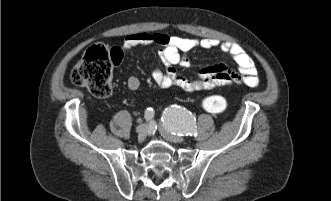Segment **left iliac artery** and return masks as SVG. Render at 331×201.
Instances as JSON below:
<instances>
[{
    "instance_id": "44dca946",
    "label": "left iliac artery",
    "mask_w": 331,
    "mask_h": 201,
    "mask_svg": "<svg viewBox=\"0 0 331 201\" xmlns=\"http://www.w3.org/2000/svg\"><path fill=\"white\" fill-rule=\"evenodd\" d=\"M163 126L172 134L179 136H197L195 117L190 111L178 105H172L163 112Z\"/></svg>"
}]
</instances>
